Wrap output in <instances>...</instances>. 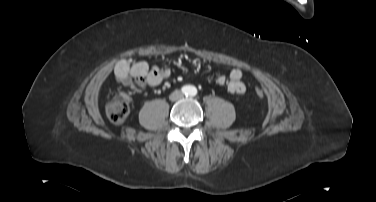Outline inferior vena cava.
Here are the masks:
<instances>
[{"mask_svg":"<svg viewBox=\"0 0 376 202\" xmlns=\"http://www.w3.org/2000/svg\"><path fill=\"white\" fill-rule=\"evenodd\" d=\"M176 95L178 98H181L183 94L180 91H176Z\"/></svg>","mask_w":376,"mask_h":202,"instance_id":"inferior-vena-cava-1","label":"inferior vena cava"}]
</instances>
